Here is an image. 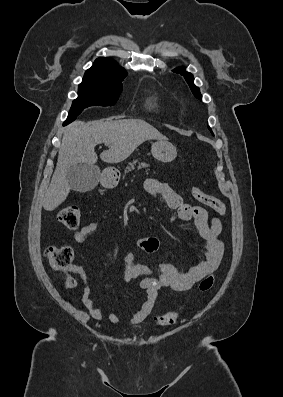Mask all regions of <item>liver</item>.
Masks as SVG:
<instances>
[{
	"instance_id": "6515ba94",
	"label": "liver",
	"mask_w": 283,
	"mask_h": 397,
	"mask_svg": "<svg viewBox=\"0 0 283 397\" xmlns=\"http://www.w3.org/2000/svg\"><path fill=\"white\" fill-rule=\"evenodd\" d=\"M149 139L163 140L165 136L141 119L71 123L64 129L56 169L44 197V209L53 211L66 200L70 192L66 175L71 166L97 162L96 145L105 143L110 146L100 154V158L114 164L124 161Z\"/></svg>"
}]
</instances>
